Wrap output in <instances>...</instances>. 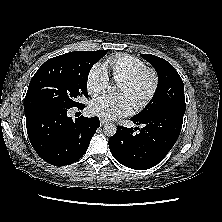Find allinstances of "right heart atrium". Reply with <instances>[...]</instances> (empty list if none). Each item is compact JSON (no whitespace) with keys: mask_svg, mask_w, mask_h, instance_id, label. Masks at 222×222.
Listing matches in <instances>:
<instances>
[{"mask_svg":"<svg viewBox=\"0 0 222 222\" xmlns=\"http://www.w3.org/2000/svg\"><path fill=\"white\" fill-rule=\"evenodd\" d=\"M87 91L91 96L105 92L109 86V77L101 65H95L88 73L86 81Z\"/></svg>","mask_w":222,"mask_h":222,"instance_id":"right-heart-atrium-1","label":"right heart atrium"}]
</instances>
